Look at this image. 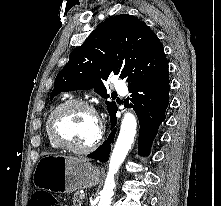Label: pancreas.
Returning a JSON list of instances; mask_svg holds the SVG:
<instances>
[{"label":"pancreas","instance_id":"cf45deb5","mask_svg":"<svg viewBox=\"0 0 221 206\" xmlns=\"http://www.w3.org/2000/svg\"><path fill=\"white\" fill-rule=\"evenodd\" d=\"M83 195L79 194L78 192L75 193L73 197V206H82V201H83Z\"/></svg>","mask_w":221,"mask_h":206}]
</instances>
